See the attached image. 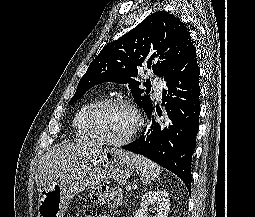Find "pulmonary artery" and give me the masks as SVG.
<instances>
[{"label":"pulmonary artery","mask_w":255,"mask_h":217,"mask_svg":"<svg viewBox=\"0 0 255 217\" xmlns=\"http://www.w3.org/2000/svg\"><path fill=\"white\" fill-rule=\"evenodd\" d=\"M153 87L155 89L156 96L160 99L162 96V90L164 88V82L160 78H153L152 80Z\"/></svg>","instance_id":"1"}]
</instances>
